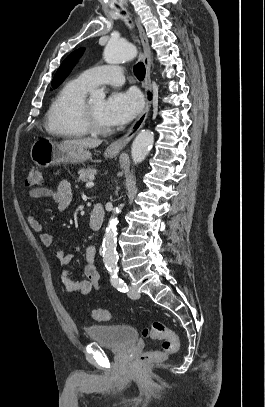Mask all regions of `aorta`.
<instances>
[{
    "label": "aorta",
    "mask_w": 265,
    "mask_h": 407,
    "mask_svg": "<svg viewBox=\"0 0 265 407\" xmlns=\"http://www.w3.org/2000/svg\"><path fill=\"white\" fill-rule=\"evenodd\" d=\"M137 55L135 45L129 42H124L119 39H111L106 45L103 58L109 64H117L124 61H130ZM105 93L102 90H96L92 93V100H103ZM154 143L153 132L149 130L141 131L133 141L131 148L132 160L135 164L142 162L148 155ZM119 212V208L113 213V216L108 222L106 232L103 239V262L111 274H115L117 268V252H116V224L117 219L115 214Z\"/></svg>",
    "instance_id": "1"
}]
</instances>
